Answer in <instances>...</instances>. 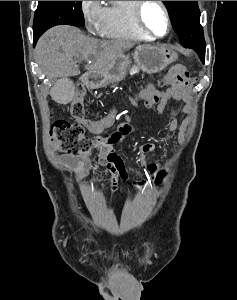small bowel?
Listing matches in <instances>:
<instances>
[{
    "label": "small bowel",
    "instance_id": "c3829d8e",
    "mask_svg": "<svg viewBox=\"0 0 237 300\" xmlns=\"http://www.w3.org/2000/svg\"><path fill=\"white\" fill-rule=\"evenodd\" d=\"M174 80L175 74L173 72H170L163 78L161 83L173 84ZM157 87V84H150L138 94L137 99L143 100L147 96L156 93L158 91ZM187 87L188 86L172 85L167 90H165L161 96L160 101L157 104V111L159 113L165 112L168 109L171 99H176L184 102L187 101L189 97ZM114 117L115 113L112 112L105 118L97 121H90L85 118L78 119L77 121L82 124L89 132L93 134H100L103 130H105L112 124ZM187 124L188 120H185L182 124V127H186ZM167 127L169 130H175L177 127L176 119H170L167 123ZM152 149L153 145L151 143H146L139 147L140 162L150 172V174H154L158 170V165H147L145 163V154L152 151ZM97 154L100 165L106 167L113 174V178L111 181L112 190H117L119 180H125L127 177L121 156L113 148L97 150ZM60 160L65 166L69 167L73 171L74 177L77 180L84 178L90 170V163L87 160H79L69 155H62L60 157ZM145 184L146 181L135 182L134 187L140 188Z\"/></svg>",
    "mask_w": 237,
    "mask_h": 300
}]
</instances>
